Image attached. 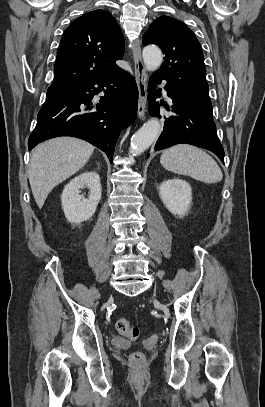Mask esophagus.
Masks as SVG:
<instances>
[{"instance_id": "1", "label": "esophagus", "mask_w": 265, "mask_h": 407, "mask_svg": "<svg viewBox=\"0 0 265 407\" xmlns=\"http://www.w3.org/2000/svg\"><path fill=\"white\" fill-rule=\"evenodd\" d=\"M132 49L134 60V72L135 79L138 87V108L137 113L139 118H143L146 112V100H147V80L148 75L141 57V44L140 39L137 38L134 41Z\"/></svg>"}]
</instances>
